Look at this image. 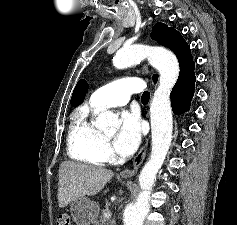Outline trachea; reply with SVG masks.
Wrapping results in <instances>:
<instances>
[{"label": "trachea", "mask_w": 237, "mask_h": 225, "mask_svg": "<svg viewBox=\"0 0 237 225\" xmlns=\"http://www.w3.org/2000/svg\"><path fill=\"white\" fill-rule=\"evenodd\" d=\"M149 98H150V92L145 91V92L142 94V101H148Z\"/></svg>", "instance_id": "obj_1"}]
</instances>
